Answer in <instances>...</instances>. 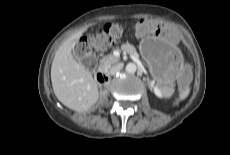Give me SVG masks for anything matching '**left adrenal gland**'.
<instances>
[{"instance_id":"left-adrenal-gland-1","label":"left adrenal gland","mask_w":230,"mask_h":155,"mask_svg":"<svg viewBox=\"0 0 230 155\" xmlns=\"http://www.w3.org/2000/svg\"><path fill=\"white\" fill-rule=\"evenodd\" d=\"M147 82H148V86H149V88L152 90V88L150 87V85H149V79L147 78Z\"/></svg>"}]
</instances>
